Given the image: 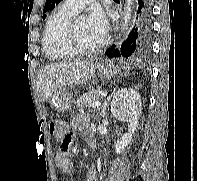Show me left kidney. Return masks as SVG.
<instances>
[{"label":"left kidney","instance_id":"left-kidney-1","mask_svg":"<svg viewBox=\"0 0 197 181\" xmlns=\"http://www.w3.org/2000/svg\"><path fill=\"white\" fill-rule=\"evenodd\" d=\"M142 110L141 97L132 88L118 90L111 103V113L120 121L129 122L128 133H125L121 140L115 142L117 154L122 153L128 144L132 142V136L139 125L138 119Z\"/></svg>","mask_w":197,"mask_h":181}]
</instances>
